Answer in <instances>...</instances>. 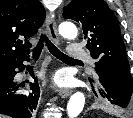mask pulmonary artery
I'll use <instances>...</instances> for the list:
<instances>
[{
  "label": "pulmonary artery",
  "instance_id": "pulmonary-artery-1",
  "mask_svg": "<svg viewBox=\"0 0 133 118\" xmlns=\"http://www.w3.org/2000/svg\"><path fill=\"white\" fill-rule=\"evenodd\" d=\"M67 53L68 56H70L71 58L84 59L90 63L94 62L93 59L90 56H88V54L85 53V51L79 45L76 44L69 45L67 48Z\"/></svg>",
  "mask_w": 133,
  "mask_h": 118
}]
</instances>
